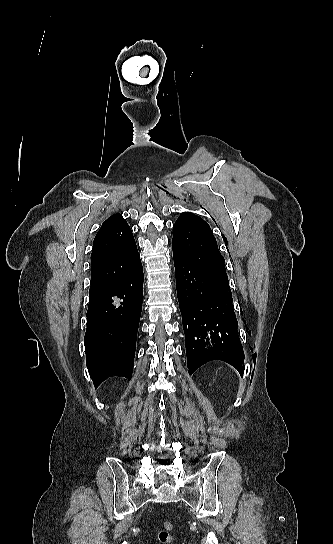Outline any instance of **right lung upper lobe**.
<instances>
[{
  "label": "right lung upper lobe",
  "instance_id": "cb5924a9",
  "mask_svg": "<svg viewBox=\"0 0 333 544\" xmlns=\"http://www.w3.org/2000/svg\"><path fill=\"white\" fill-rule=\"evenodd\" d=\"M139 262L137 246L126 220L119 213L110 216L94 239L89 294L113 285Z\"/></svg>",
  "mask_w": 333,
  "mask_h": 544
}]
</instances>
